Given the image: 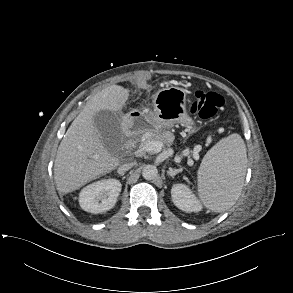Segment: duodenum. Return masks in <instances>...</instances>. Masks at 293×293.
<instances>
[{
    "instance_id": "410a0bca",
    "label": "duodenum",
    "mask_w": 293,
    "mask_h": 293,
    "mask_svg": "<svg viewBox=\"0 0 293 293\" xmlns=\"http://www.w3.org/2000/svg\"><path fill=\"white\" fill-rule=\"evenodd\" d=\"M139 120H141V117H138ZM134 120V114H128L126 117H125V124L127 126H129ZM128 145H130V142L127 143Z\"/></svg>"
}]
</instances>
